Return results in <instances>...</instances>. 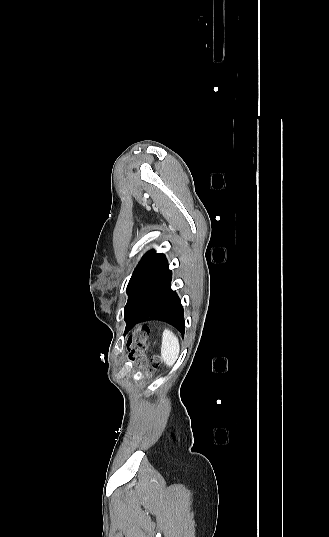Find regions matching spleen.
I'll list each match as a JSON object with an SVG mask.
<instances>
[{
    "label": "spleen",
    "instance_id": "3e777b00",
    "mask_svg": "<svg viewBox=\"0 0 329 537\" xmlns=\"http://www.w3.org/2000/svg\"><path fill=\"white\" fill-rule=\"evenodd\" d=\"M179 351L180 345L178 338L172 331L166 329L163 333L161 345V355L163 361L167 365L172 366L178 358Z\"/></svg>",
    "mask_w": 329,
    "mask_h": 537
}]
</instances>
